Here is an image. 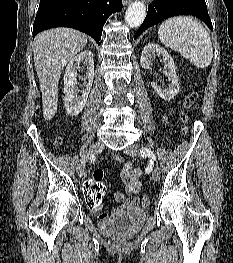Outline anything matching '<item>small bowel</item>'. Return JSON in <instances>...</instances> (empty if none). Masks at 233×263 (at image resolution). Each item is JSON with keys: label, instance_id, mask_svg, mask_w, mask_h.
Instances as JSON below:
<instances>
[{"label": "small bowel", "instance_id": "obj_1", "mask_svg": "<svg viewBox=\"0 0 233 263\" xmlns=\"http://www.w3.org/2000/svg\"><path fill=\"white\" fill-rule=\"evenodd\" d=\"M164 120L166 121V118H164ZM114 161L122 164L121 178L125 184V189L116 192L114 195L115 200L121 204L116 211L137 207L139 204L137 194L141 189L142 170L139 168H133L131 163L124 162L120 156H115ZM91 209L101 220L107 217V215L102 211L100 204L97 205L96 208Z\"/></svg>", "mask_w": 233, "mask_h": 263}]
</instances>
